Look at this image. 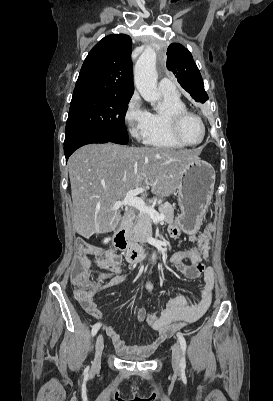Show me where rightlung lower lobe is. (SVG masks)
Masks as SVG:
<instances>
[{"instance_id": "obj_1", "label": "right lung lower lobe", "mask_w": 273, "mask_h": 401, "mask_svg": "<svg viewBox=\"0 0 273 401\" xmlns=\"http://www.w3.org/2000/svg\"><path fill=\"white\" fill-rule=\"evenodd\" d=\"M108 142L111 141L90 134L74 135L69 138H65L64 153L66 160L76 149H78L83 145L90 143H108Z\"/></svg>"}]
</instances>
